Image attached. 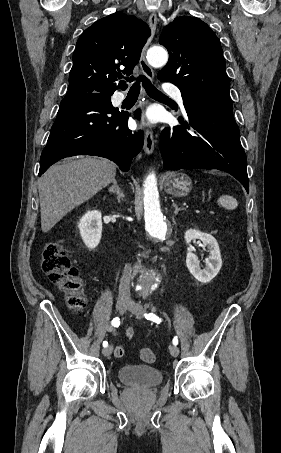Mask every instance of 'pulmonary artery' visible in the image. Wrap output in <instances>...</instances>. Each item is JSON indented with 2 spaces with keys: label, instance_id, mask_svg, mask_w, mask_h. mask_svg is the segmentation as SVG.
Wrapping results in <instances>:
<instances>
[{
  "label": "pulmonary artery",
  "instance_id": "pulmonary-artery-1",
  "mask_svg": "<svg viewBox=\"0 0 281 453\" xmlns=\"http://www.w3.org/2000/svg\"><path fill=\"white\" fill-rule=\"evenodd\" d=\"M170 95L178 102V103H182L183 102V98H182V93L179 89H175V90H172L170 91ZM125 99V95L123 92L121 91H117L113 94L112 98H111V101L112 103L114 104H119L121 102H123Z\"/></svg>",
  "mask_w": 281,
  "mask_h": 453
}]
</instances>
